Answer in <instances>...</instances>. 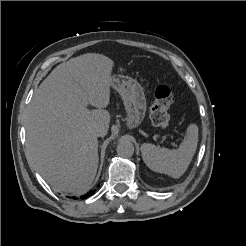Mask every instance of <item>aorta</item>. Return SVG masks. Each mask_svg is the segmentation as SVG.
<instances>
[{
    "mask_svg": "<svg viewBox=\"0 0 246 246\" xmlns=\"http://www.w3.org/2000/svg\"><path fill=\"white\" fill-rule=\"evenodd\" d=\"M134 153V145L126 138H121L117 145V154L122 158H130Z\"/></svg>",
    "mask_w": 246,
    "mask_h": 246,
    "instance_id": "obj_1",
    "label": "aorta"
}]
</instances>
